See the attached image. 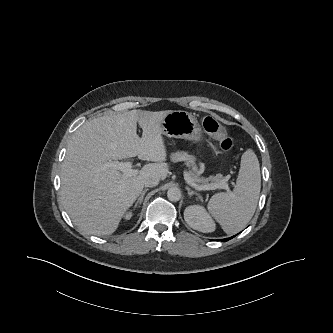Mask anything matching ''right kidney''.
Wrapping results in <instances>:
<instances>
[{
  "instance_id": "1",
  "label": "right kidney",
  "mask_w": 333,
  "mask_h": 333,
  "mask_svg": "<svg viewBox=\"0 0 333 333\" xmlns=\"http://www.w3.org/2000/svg\"><path fill=\"white\" fill-rule=\"evenodd\" d=\"M131 217H132L131 212L126 213V215L124 216L125 220H130Z\"/></svg>"
}]
</instances>
